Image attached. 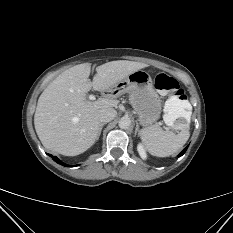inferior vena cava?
Segmentation results:
<instances>
[{
	"label": "inferior vena cava",
	"instance_id": "1",
	"mask_svg": "<svg viewBox=\"0 0 233 233\" xmlns=\"http://www.w3.org/2000/svg\"><path fill=\"white\" fill-rule=\"evenodd\" d=\"M116 114L117 112L113 108L103 109L100 110L98 118L100 122L107 123L112 121L115 118Z\"/></svg>",
	"mask_w": 233,
	"mask_h": 233
}]
</instances>
